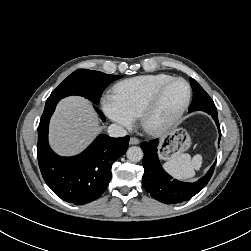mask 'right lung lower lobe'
<instances>
[{"label":"right lung lower lobe","mask_w":251,"mask_h":251,"mask_svg":"<svg viewBox=\"0 0 251 251\" xmlns=\"http://www.w3.org/2000/svg\"><path fill=\"white\" fill-rule=\"evenodd\" d=\"M57 102L45 105L38 126L37 155L44 181L62 200L76 205L94 201L106 190L112 177V164L125 154L129 136H98L81 154L58 156L48 144V127ZM95 110L105 121L102 112Z\"/></svg>","instance_id":"right-lung-lower-lobe-1"}]
</instances>
